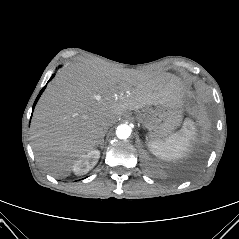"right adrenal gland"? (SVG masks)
Returning a JSON list of instances; mask_svg holds the SVG:
<instances>
[{
	"mask_svg": "<svg viewBox=\"0 0 239 239\" xmlns=\"http://www.w3.org/2000/svg\"><path fill=\"white\" fill-rule=\"evenodd\" d=\"M105 134H106V131L104 132L102 138L96 144L97 146L100 145L101 149H103V147H104V136H105Z\"/></svg>",
	"mask_w": 239,
	"mask_h": 239,
	"instance_id": "obj_1",
	"label": "right adrenal gland"
}]
</instances>
